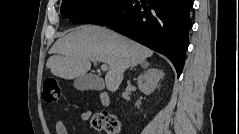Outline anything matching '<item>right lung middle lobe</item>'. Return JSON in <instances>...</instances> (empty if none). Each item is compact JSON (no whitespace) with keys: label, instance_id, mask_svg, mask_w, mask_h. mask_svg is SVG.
<instances>
[{"label":"right lung middle lobe","instance_id":"obj_1","mask_svg":"<svg viewBox=\"0 0 239 134\" xmlns=\"http://www.w3.org/2000/svg\"><path fill=\"white\" fill-rule=\"evenodd\" d=\"M119 2L120 0H62L60 12L72 22L87 23Z\"/></svg>","mask_w":239,"mask_h":134}]
</instances>
